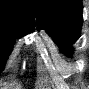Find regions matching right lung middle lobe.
I'll use <instances>...</instances> for the list:
<instances>
[{
	"instance_id": "obj_1",
	"label": "right lung middle lobe",
	"mask_w": 89,
	"mask_h": 89,
	"mask_svg": "<svg viewBox=\"0 0 89 89\" xmlns=\"http://www.w3.org/2000/svg\"><path fill=\"white\" fill-rule=\"evenodd\" d=\"M33 30L24 29L19 25L10 22H0V60L1 67L4 66L6 60L12 51L16 38H20Z\"/></svg>"
}]
</instances>
